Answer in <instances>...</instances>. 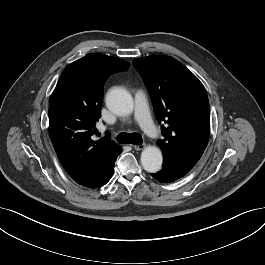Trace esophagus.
Returning <instances> with one entry per match:
<instances>
[{
  "mask_svg": "<svg viewBox=\"0 0 265 265\" xmlns=\"http://www.w3.org/2000/svg\"><path fill=\"white\" fill-rule=\"evenodd\" d=\"M146 147V144L134 145V149L137 151L143 150Z\"/></svg>",
  "mask_w": 265,
  "mask_h": 265,
  "instance_id": "obj_1",
  "label": "esophagus"
}]
</instances>
